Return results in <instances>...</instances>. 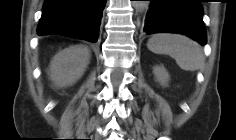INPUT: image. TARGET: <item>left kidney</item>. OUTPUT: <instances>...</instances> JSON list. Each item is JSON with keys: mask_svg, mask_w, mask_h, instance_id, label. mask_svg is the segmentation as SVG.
<instances>
[{"mask_svg": "<svg viewBox=\"0 0 236 140\" xmlns=\"http://www.w3.org/2000/svg\"><path fill=\"white\" fill-rule=\"evenodd\" d=\"M153 73L156 77V80L161 84V85H166L169 81V74L167 70L162 67V66H155L153 69Z\"/></svg>", "mask_w": 236, "mask_h": 140, "instance_id": "1", "label": "left kidney"}]
</instances>
